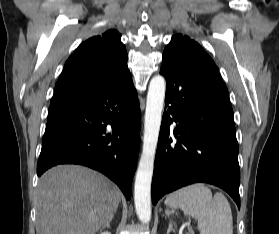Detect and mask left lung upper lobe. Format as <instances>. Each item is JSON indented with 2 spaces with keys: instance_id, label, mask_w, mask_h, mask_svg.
Here are the masks:
<instances>
[{
  "instance_id": "obj_1",
  "label": "left lung upper lobe",
  "mask_w": 279,
  "mask_h": 234,
  "mask_svg": "<svg viewBox=\"0 0 279 234\" xmlns=\"http://www.w3.org/2000/svg\"><path fill=\"white\" fill-rule=\"evenodd\" d=\"M164 52L171 53L190 65L218 71L211 57L188 36L174 35Z\"/></svg>"
}]
</instances>
